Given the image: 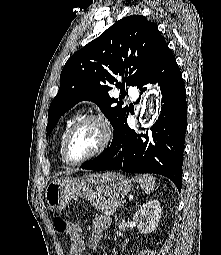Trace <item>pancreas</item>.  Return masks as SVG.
Segmentation results:
<instances>
[{
  "label": "pancreas",
  "instance_id": "pancreas-1",
  "mask_svg": "<svg viewBox=\"0 0 221 255\" xmlns=\"http://www.w3.org/2000/svg\"><path fill=\"white\" fill-rule=\"evenodd\" d=\"M91 204L103 214L112 215L116 212L117 207L121 205V201L117 199H98Z\"/></svg>",
  "mask_w": 221,
  "mask_h": 255
}]
</instances>
